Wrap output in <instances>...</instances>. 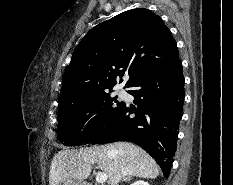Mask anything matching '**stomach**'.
<instances>
[{"instance_id":"0dacf381","label":"stomach","mask_w":233,"mask_h":185,"mask_svg":"<svg viewBox=\"0 0 233 185\" xmlns=\"http://www.w3.org/2000/svg\"><path fill=\"white\" fill-rule=\"evenodd\" d=\"M62 185H86V184L76 179H67L62 183Z\"/></svg>"}]
</instances>
